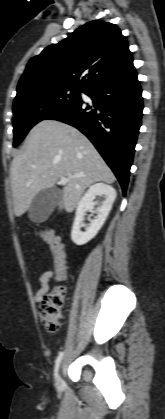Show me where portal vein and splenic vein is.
Here are the masks:
<instances>
[{
	"instance_id": "18ae733b",
	"label": "portal vein and splenic vein",
	"mask_w": 165,
	"mask_h": 419,
	"mask_svg": "<svg viewBox=\"0 0 165 419\" xmlns=\"http://www.w3.org/2000/svg\"><path fill=\"white\" fill-rule=\"evenodd\" d=\"M68 179H69V178L62 177V178L59 180V183H60V184H62V185H65V184L68 182Z\"/></svg>"
}]
</instances>
